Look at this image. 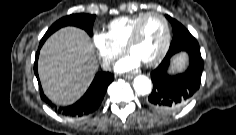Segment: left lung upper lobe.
Listing matches in <instances>:
<instances>
[{"label":"left lung upper lobe","instance_id":"left-lung-upper-lobe-1","mask_svg":"<svg viewBox=\"0 0 236 135\" xmlns=\"http://www.w3.org/2000/svg\"><path fill=\"white\" fill-rule=\"evenodd\" d=\"M166 18L169 20L171 17H170V16H168V15H166Z\"/></svg>","mask_w":236,"mask_h":135}]
</instances>
